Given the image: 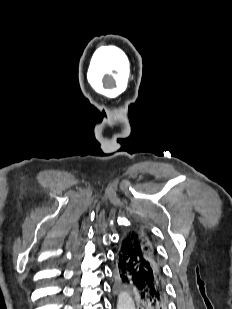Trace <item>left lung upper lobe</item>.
I'll list each match as a JSON object with an SVG mask.
<instances>
[{"instance_id": "5c2ea615", "label": "left lung upper lobe", "mask_w": 232, "mask_h": 309, "mask_svg": "<svg viewBox=\"0 0 232 309\" xmlns=\"http://www.w3.org/2000/svg\"><path fill=\"white\" fill-rule=\"evenodd\" d=\"M132 232L144 251L158 261V254L151 234L145 228L140 226L134 227Z\"/></svg>"}]
</instances>
